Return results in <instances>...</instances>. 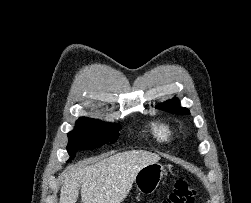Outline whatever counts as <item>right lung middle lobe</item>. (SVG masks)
<instances>
[{"label":"right lung middle lobe","instance_id":"dd1d6c3e","mask_svg":"<svg viewBox=\"0 0 251 203\" xmlns=\"http://www.w3.org/2000/svg\"><path fill=\"white\" fill-rule=\"evenodd\" d=\"M119 128L118 124L80 117L75 129L68 133V161L75 157L78 150L95 149L106 143H114L119 137Z\"/></svg>","mask_w":251,"mask_h":203}]
</instances>
